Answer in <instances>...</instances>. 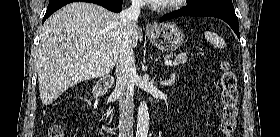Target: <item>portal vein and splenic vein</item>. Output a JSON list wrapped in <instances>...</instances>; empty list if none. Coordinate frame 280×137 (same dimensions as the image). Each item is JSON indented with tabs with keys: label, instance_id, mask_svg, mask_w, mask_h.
I'll use <instances>...</instances> for the list:
<instances>
[{
	"label": "portal vein and splenic vein",
	"instance_id": "portal-vein-and-splenic-vein-1",
	"mask_svg": "<svg viewBox=\"0 0 280 137\" xmlns=\"http://www.w3.org/2000/svg\"><path fill=\"white\" fill-rule=\"evenodd\" d=\"M171 63H172L171 60H166L164 64H165V65H170Z\"/></svg>",
	"mask_w": 280,
	"mask_h": 137
}]
</instances>
